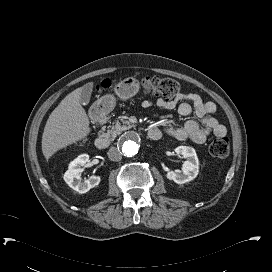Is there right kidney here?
<instances>
[{"label":"right kidney","instance_id":"right-kidney-1","mask_svg":"<svg viewBox=\"0 0 272 272\" xmlns=\"http://www.w3.org/2000/svg\"><path fill=\"white\" fill-rule=\"evenodd\" d=\"M88 160L89 155H79L76 159L70 162L68 170L63 176L64 181L69 185V187L80 194L88 192L91 188L97 186L101 181L100 176L92 175L87 180L81 182V167L85 166Z\"/></svg>","mask_w":272,"mask_h":272}]
</instances>
